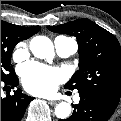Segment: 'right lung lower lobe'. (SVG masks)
<instances>
[{"label": "right lung lower lobe", "instance_id": "1", "mask_svg": "<svg viewBox=\"0 0 121 121\" xmlns=\"http://www.w3.org/2000/svg\"><path fill=\"white\" fill-rule=\"evenodd\" d=\"M2 81L6 85H11L12 88L19 83L14 71ZM33 99V97L23 94L20 89L14 91L13 96L7 95L5 98L1 97V121H20L28 104Z\"/></svg>", "mask_w": 121, "mask_h": 121}]
</instances>
